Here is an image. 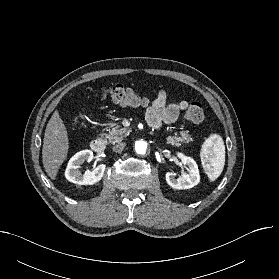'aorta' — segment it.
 <instances>
[{"instance_id":"aorta-1","label":"aorta","mask_w":279,"mask_h":279,"mask_svg":"<svg viewBox=\"0 0 279 279\" xmlns=\"http://www.w3.org/2000/svg\"><path fill=\"white\" fill-rule=\"evenodd\" d=\"M135 151L138 154H145L147 151V143L145 141L139 140L135 143Z\"/></svg>"}]
</instances>
